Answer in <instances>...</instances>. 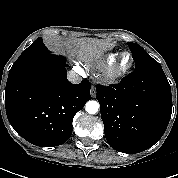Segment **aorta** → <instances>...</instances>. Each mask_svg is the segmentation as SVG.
Segmentation results:
<instances>
[{
  "mask_svg": "<svg viewBox=\"0 0 178 178\" xmlns=\"http://www.w3.org/2000/svg\"><path fill=\"white\" fill-rule=\"evenodd\" d=\"M85 110L89 114H96L99 110V103L97 101H88L85 105Z\"/></svg>",
  "mask_w": 178,
  "mask_h": 178,
  "instance_id": "obj_1",
  "label": "aorta"
}]
</instances>
